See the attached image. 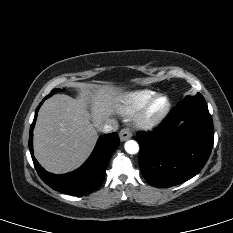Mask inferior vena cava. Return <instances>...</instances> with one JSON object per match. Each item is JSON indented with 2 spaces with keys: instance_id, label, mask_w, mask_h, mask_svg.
<instances>
[{
  "instance_id": "1",
  "label": "inferior vena cava",
  "mask_w": 233,
  "mask_h": 233,
  "mask_svg": "<svg viewBox=\"0 0 233 233\" xmlns=\"http://www.w3.org/2000/svg\"><path fill=\"white\" fill-rule=\"evenodd\" d=\"M118 129V122L115 119H108L106 123H104L101 127L100 130L103 133H110L117 131Z\"/></svg>"
}]
</instances>
